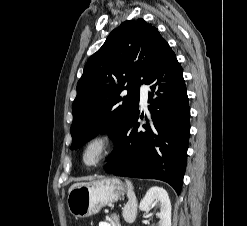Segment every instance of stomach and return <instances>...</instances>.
Returning a JSON list of instances; mask_svg holds the SVG:
<instances>
[{"instance_id":"1","label":"stomach","mask_w":247,"mask_h":226,"mask_svg":"<svg viewBox=\"0 0 247 226\" xmlns=\"http://www.w3.org/2000/svg\"><path fill=\"white\" fill-rule=\"evenodd\" d=\"M124 192V185L117 178H100L79 183L69 191L68 209L76 217H89L97 214L103 206L117 201Z\"/></svg>"}]
</instances>
